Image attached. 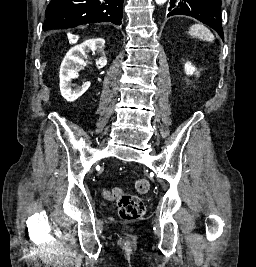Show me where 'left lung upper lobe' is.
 Returning a JSON list of instances; mask_svg holds the SVG:
<instances>
[{
  "label": "left lung upper lobe",
  "instance_id": "5c2ea615",
  "mask_svg": "<svg viewBox=\"0 0 256 267\" xmlns=\"http://www.w3.org/2000/svg\"><path fill=\"white\" fill-rule=\"evenodd\" d=\"M169 14L187 15L213 28L224 40L221 20V0H171Z\"/></svg>",
  "mask_w": 256,
  "mask_h": 267
}]
</instances>
